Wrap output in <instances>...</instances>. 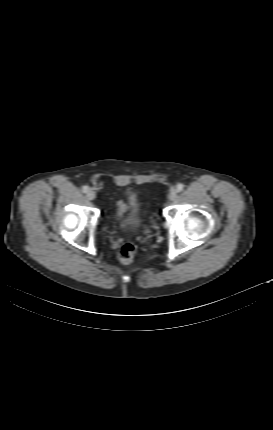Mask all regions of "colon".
Segmentation results:
<instances>
[{"mask_svg": "<svg viewBox=\"0 0 273 430\" xmlns=\"http://www.w3.org/2000/svg\"><path fill=\"white\" fill-rule=\"evenodd\" d=\"M117 217L121 218L126 212V205L123 202L117 204ZM136 255V247L131 243L123 244L118 250V257L124 264H130L134 261Z\"/></svg>", "mask_w": 273, "mask_h": 430, "instance_id": "5ec220e1", "label": "colon"}]
</instances>
